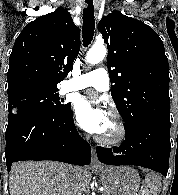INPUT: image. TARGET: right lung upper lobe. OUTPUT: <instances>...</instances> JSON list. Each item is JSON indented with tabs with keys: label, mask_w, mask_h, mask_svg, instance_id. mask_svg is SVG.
<instances>
[{
	"label": "right lung upper lobe",
	"mask_w": 178,
	"mask_h": 195,
	"mask_svg": "<svg viewBox=\"0 0 178 195\" xmlns=\"http://www.w3.org/2000/svg\"><path fill=\"white\" fill-rule=\"evenodd\" d=\"M79 50L80 30L63 7L30 22L10 55L8 96L29 89H57Z\"/></svg>",
	"instance_id": "obj_1"
}]
</instances>
